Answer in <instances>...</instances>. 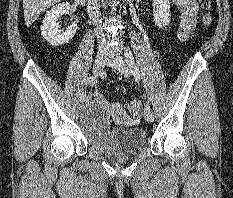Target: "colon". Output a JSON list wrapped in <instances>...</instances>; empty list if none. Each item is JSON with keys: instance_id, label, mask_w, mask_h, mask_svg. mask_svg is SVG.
<instances>
[{"instance_id": "obj_1", "label": "colon", "mask_w": 233, "mask_h": 198, "mask_svg": "<svg viewBox=\"0 0 233 198\" xmlns=\"http://www.w3.org/2000/svg\"><path fill=\"white\" fill-rule=\"evenodd\" d=\"M200 6L204 10L202 17V24L205 28H209L212 24V16L209 12L211 7V0H199ZM128 110L133 117H138L141 113V102L139 100H134L128 104Z\"/></svg>"}]
</instances>
